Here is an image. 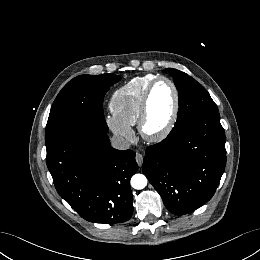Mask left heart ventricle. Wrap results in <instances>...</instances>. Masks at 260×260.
I'll return each instance as SVG.
<instances>
[{"mask_svg": "<svg viewBox=\"0 0 260 260\" xmlns=\"http://www.w3.org/2000/svg\"><path fill=\"white\" fill-rule=\"evenodd\" d=\"M174 108V93L167 82L155 87L149 104L146 130L150 134L162 131L168 124Z\"/></svg>", "mask_w": 260, "mask_h": 260, "instance_id": "obj_1", "label": "left heart ventricle"}]
</instances>
